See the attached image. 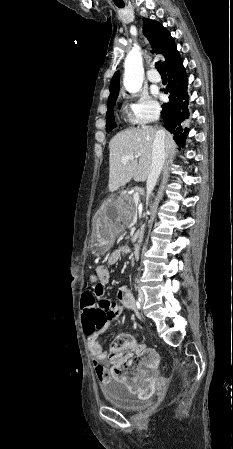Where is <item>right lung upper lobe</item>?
<instances>
[{"mask_svg":"<svg viewBox=\"0 0 233 449\" xmlns=\"http://www.w3.org/2000/svg\"><path fill=\"white\" fill-rule=\"evenodd\" d=\"M143 32L149 39L153 51L156 54H162L165 57L163 62L166 70L181 61L179 52L176 49V44L174 39L171 37L170 33L165 27L160 23L150 20L148 18H143ZM120 79L119 73L115 72L111 83H110V96L116 95L119 92Z\"/></svg>","mask_w":233,"mask_h":449,"instance_id":"right-lung-upper-lobe-1","label":"right lung upper lobe"}]
</instances>
